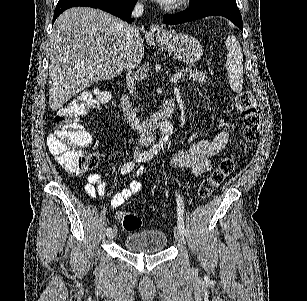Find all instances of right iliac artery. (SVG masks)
Listing matches in <instances>:
<instances>
[{"label": "right iliac artery", "instance_id": "1", "mask_svg": "<svg viewBox=\"0 0 307 301\" xmlns=\"http://www.w3.org/2000/svg\"><path fill=\"white\" fill-rule=\"evenodd\" d=\"M147 159H148V155L144 153V154L139 155L134 161L124 163V165L121 168V173L122 174L129 173L132 170V168L134 167L135 163H141L143 161H146ZM111 230L112 229L110 227L107 228L106 234L107 235L110 234Z\"/></svg>", "mask_w": 307, "mask_h": 301}]
</instances>
